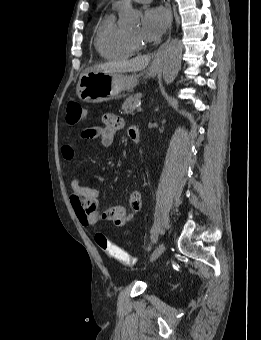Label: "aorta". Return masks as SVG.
<instances>
[{
  "label": "aorta",
  "mask_w": 261,
  "mask_h": 340,
  "mask_svg": "<svg viewBox=\"0 0 261 340\" xmlns=\"http://www.w3.org/2000/svg\"><path fill=\"white\" fill-rule=\"evenodd\" d=\"M120 20L123 25L132 26L139 22V14L132 8L130 0H126L122 12L120 13ZM183 45L178 38H174L168 44L162 67V74L164 82L171 84L178 75L181 67Z\"/></svg>",
  "instance_id": "762f6f07"
}]
</instances>
